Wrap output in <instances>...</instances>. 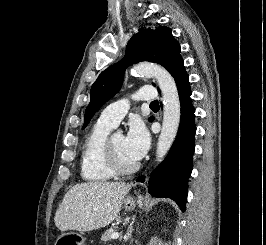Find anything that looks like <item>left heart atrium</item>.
<instances>
[{
  "instance_id": "obj_1",
  "label": "left heart atrium",
  "mask_w": 266,
  "mask_h": 245,
  "mask_svg": "<svg viewBox=\"0 0 266 245\" xmlns=\"http://www.w3.org/2000/svg\"><path fill=\"white\" fill-rule=\"evenodd\" d=\"M124 149L128 156L137 162L145 155L149 146V134L142 122L134 120L123 137Z\"/></svg>"
}]
</instances>
